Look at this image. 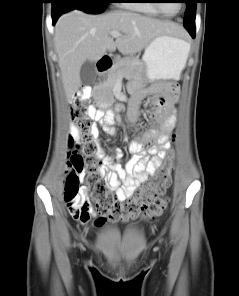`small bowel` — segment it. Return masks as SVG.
Instances as JSON below:
<instances>
[{
  "label": "small bowel",
  "instance_id": "small-bowel-1",
  "mask_svg": "<svg viewBox=\"0 0 239 296\" xmlns=\"http://www.w3.org/2000/svg\"><path fill=\"white\" fill-rule=\"evenodd\" d=\"M171 92L166 96V104L163 98L154 99L151 106L154 111L151 114L154 125L148 128L142 135L131 141L128 146L131 158L124 167L113 165V156L107 155L104 150L99 152L102 157L101 173L107 183L108 189L114 192L118 201L122 202L133 195L135 190L148 178L156 173L170 149V136L176 126V111L173 107L176 101V86L170 87ZM143 98L141 91H134L129 103L128 116L132 122H137L139 117V104ZM91 117L100 121L103 130L108 134H115L112 127L114 121L113 111L106 113L92 109ZM74 135L77 134L74 126H71ZM94 135H99V129L94 127ZM118 158L122 157L121 151H116ZM92 215L95 212L91 211ZM134 218L131 215L122 217L124 221ZM103 220H97L96 224H101Z\"/></svg>",
  "mask_w": 239,
  "mask_h": 296
}]
</instances>
